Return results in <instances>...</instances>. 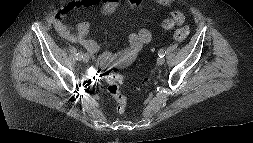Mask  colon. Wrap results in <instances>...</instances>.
Here are the masks:
<instances>
[{
    "label": "colon",
    "instance_id": "obj_1",
    "mask_svg": "<svg viewBox=\"0 0 253 143\" xmlns=\"http://www.w3.org/2000/svg\"><path fill=\"white\" fill-rule=\"evenodd\" d=\"M188 35L187 28H180L173 32L172 37L177 42H182L186 39ZM135 56H129L127 58L122 59L120 62L113 59L112 57H102L99 60V66L104 68L105 71L101 73L100 77L107 84V92L110 97L117 104V111L119 113H123L127 106V99L125 95L121 92L120 84L124 81V76L116 71L109 69L112 66H126L129 65ZM148 84V80L144 79L137 88H142Z\"/></svg>",
    "mask_w": 253,
    "mask_h": 143
}]
</instances>
